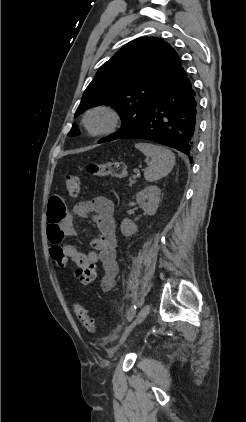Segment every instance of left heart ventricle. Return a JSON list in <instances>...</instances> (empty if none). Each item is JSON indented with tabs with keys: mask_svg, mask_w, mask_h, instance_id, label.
<instances>
[{
	"mask_svg": "<svg viewBox=\"0 0 246 422\" xmlns=\"http://www.w3.org/2000/svg\"><path fill=\"white\" fill-rule=\"evenodd\" d=\"M104 122V117L101 115H94L90 118L89 123L92 127L98 128L100 127Z\"/></svg>",
	"mask_w": 246,
	"mask_h": 422,
	"instance_id": "left-heart-ventricle-1",
	"label": "left heart ventricle"
}]
</instances>
